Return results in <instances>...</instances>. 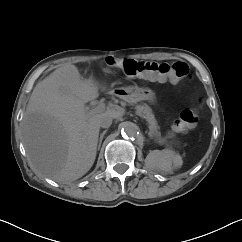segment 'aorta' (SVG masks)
<instances>
[{
  "mask_svg": "<svg viewBox=\"0 0 242 242\" xmlns=\"http://www.w3.org/2000/svg\"><path fill=\"white\" fill-rule=\"evenodd\" d=\"M122 132L130 137L134 138L138 135V126L132 122H126L122 128Z\"/></svg>",
  "mask_w": 242,
  "mask_h": 242,
  "instance_id": "aorta-1",
  "label": "aorta"
}]
</instances>
